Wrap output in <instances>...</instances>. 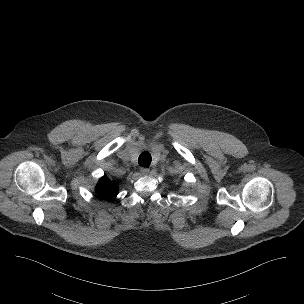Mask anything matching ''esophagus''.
<instances>
[{"label":"esophagus","instance_id":"obj_1","mask_svg":"<svg viewBox=\"0 0 304 304\" xmlns=\"http://www.w3.org/2000/svg\"><path fill=\"white\" fill-rule=\"evenodd\" d=\"M149 172H150L149 168L142 167V168L140 169V173H141L142 175H147Z\"/></svg>","mask_w":304,"mask_h":304}]
</instances>
